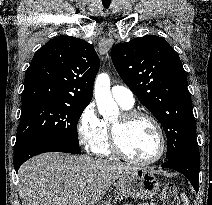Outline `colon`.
<instances>
[{
	"label": "colon",
	"instance_id": "1",
	"mask_svg": "<svg viewBox=\"0 0 212 205\" xmlns=\"http://www.w3.org/2000/svg\"><path fill=\"white\" fill-rule=\"evenodd\" d=\"M161 198L163 205H180L176 186L172 183H168L164 186Z\"/></svg>",
	"mask_w": 212,
	"mask_h": 205
}]
</instances>
